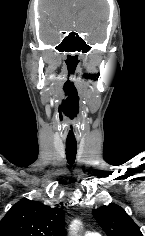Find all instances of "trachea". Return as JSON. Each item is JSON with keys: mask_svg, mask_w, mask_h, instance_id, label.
I'll use <instances>...</instances> for the list:
<instances>
[{"mask_svg": "<svg viewBox=\"0 0 145 236\" xmlns=\"http://www.w3.org/2000/svg\"><path fill=\"white\" fill-rule=\"evenodd\" d=\"M77 154V143L76 142H66V158L70 165L75 162Z\"/></svg>", "mask_w": 145, "mask_h": 236, "instance_id": "obj_1", "label": "trachea"}]
</instances>
